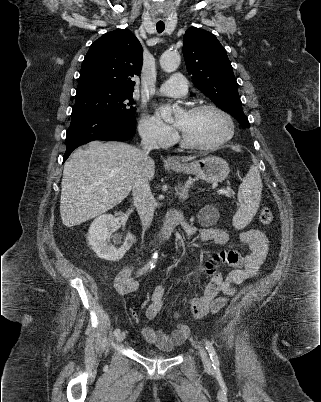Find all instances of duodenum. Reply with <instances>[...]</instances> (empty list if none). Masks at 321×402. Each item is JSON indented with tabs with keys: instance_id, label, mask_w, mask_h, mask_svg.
Returning a JSON list of instances; mask_svg holds the SVG:
<instances>
[{
	"instance_id": "obj_1",
	"label": "duodenum",
	"mask_w": 321,
	"mask_h": 402,
	"mask_svg": "<svg viewBox=\"0 0 321 402\" xmlns=\"http://www.w3.org/2000/svg\"><path fill=\"white\" fill-rule=\"evenodd\" d=\"M184 222V216L179 210H171L167 213L163 225L157 235V240L159 242H164L168 240L176 229L177 226Z\"/></svg>"
}]
</instances>
